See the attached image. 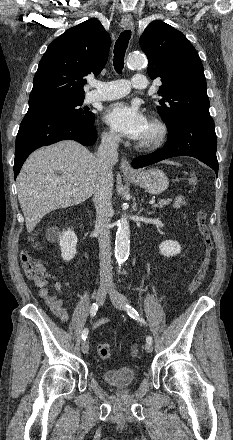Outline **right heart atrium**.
<instances>
[{
    "instance_id": "obj_1",
    "label": "right heart atrium",
    "mask_w": 233,
    "mask_h": 440,
    "mask_svg": "<svg viewBox=\"0 0 233 440\" xmlns=\"http://www.w3.org/2000/svg\"><path fill=\"white\" fill-rule=\"evenodd\" d=\"M103 140L107 144H115L118 140V137L113 131L107 130L103 133Z\"/></svg>"
}]
</instances>
